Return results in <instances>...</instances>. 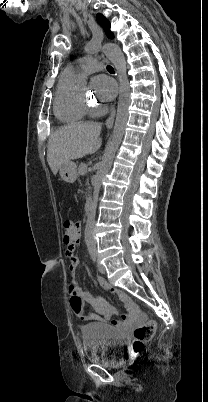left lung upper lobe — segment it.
Returning a JSON list of instances; mask_svg holds the SVG:
<instances>
[{
  "mask_svg": "<svg viewBox=\"0 0 208 402\" xmlns=\"http://www.w3.org/2000/svg\"><path fill=\"white\" fill-rule=\"evenodd\" d=\"M96 19H97V22H98V23L103 27V29L105 30L106 35H107L109 38H113L114 35L110 32V23H109V21H108L103 15H101V14H98V15L96 16Z\"/></svg>",
  "mask_w": 208,
  "mask_h": 402,
  "instance_id": "5c2ea615",
  "label": "left lung upper lobe"
}]
</instances>
